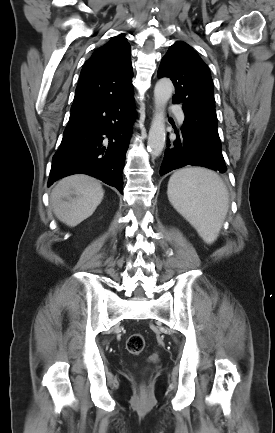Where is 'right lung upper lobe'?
I'll return each mask as SVG.
<instances>
[{"mask_svg": "<svg viewBox=\"0 0 275 433\" xmlns=\"http://www.w3.org/2000/svg\"><path fill=\"white\" fill-rule=\"evenodd\" d=\"M130 56L131 46L123 34L96 49L81 70L71 111L132 94Z\"/></svg>", "mask_w": 275, "mask_h": 433, "instance_id": "right-lung-upper-lobe-1", "label": "right lung upper lobe"}]
</instances>
